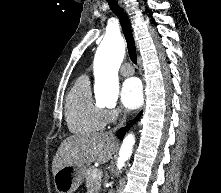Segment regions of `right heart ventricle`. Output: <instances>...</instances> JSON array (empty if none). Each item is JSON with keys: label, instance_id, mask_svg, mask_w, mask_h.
<instances>
[{"label": "right heart ventricle", "instance_id": "e07e8e85", "mask_svg": "<svg viewBox=\"0 0 221 193\" xmlns=\"http://www.w3.org/2000/svg\"><path fill=\"white\" fill-rule=\"evenodd\" d=\"M65 110L68 127L73 133H92L106 125V110L94 101L86 76L78 78L70 89Z\"/></svg>", "mask_w": 221, "mask_h": 193}]
</instances>
